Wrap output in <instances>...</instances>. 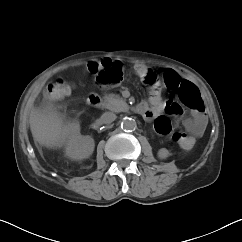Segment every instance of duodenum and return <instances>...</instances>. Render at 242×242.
Returning <instances> with one entry per match:
<instances>
[{
    "label": "duodenum",
    "mask_w": 242,
    "mask_h": 242,
    "mask_svg": "<svg viewBox=\"0 0 242 242\" xmlns=\"http://www.w3.org/2000/svg\"><path fill=\"white\" fill-rule=\"evenodd\" d=\"M88 104L93 107H100L103 105L102 97L99 93H90L87 97ZM146 104H139L134 106L135 112L143 115L147 111Z\"/></svg>",
    "instance_id": "duodenum-1"
}]
</instances>
